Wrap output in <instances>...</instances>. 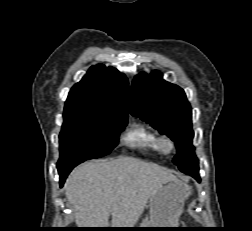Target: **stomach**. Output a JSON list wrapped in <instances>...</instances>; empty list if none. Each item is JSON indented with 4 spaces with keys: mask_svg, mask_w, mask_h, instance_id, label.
<instances>
[{
    "mask_svg": "<svg viewBox=\"0 0 252 231\" xmlns=\"http://www.w3.org/2000/svg\"><path fill=\"white\" fill-rule=\"evenodd\" d=\"M190 194L191 188L177 178L163 183L149 199L150 220L139 228H178V217Z\"/></svg>",
    "mask_w": 252,
    "mask_h": 231,
    "instance_id": "obj_1",
    "label": "stomach"
}]
</instances>
